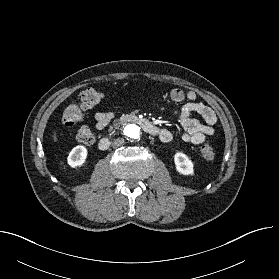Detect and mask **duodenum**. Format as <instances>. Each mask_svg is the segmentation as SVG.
I'll return each instance as SVG.
<instances>
[{"label": "duodenum", "mask_w": 279, "mask_h": 279, "mask_svg": "<svg viewBox=\"0 0 279 279\" xmlns=\"http://www.w3.org/2000/svg\"><path fill=\"white\" fill-rule=\"evenodd\" d=\"M127 123H135L139 125L145 132L151 135H157L158 129L148 119L142 118L136 115L127 114L123 115L118 120V125H124ZM110 145V139L104 137L100 139L98 147L100 150H106Z\"/></svg>", "instance_id": "1"}]
</instances>
